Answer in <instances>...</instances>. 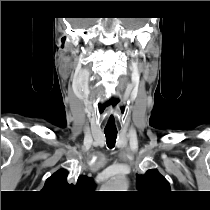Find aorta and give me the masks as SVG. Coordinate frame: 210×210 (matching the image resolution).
Returning a JSON list of instances; mask_svg holds the SVG:
<instances>
[{
  "instance_id": "aorta-1",
  "label": "aorta",
  "mask_w": 210,
  "mask_h": 210,
  "mask_svg": "<svg viewBox=\"0 0 210 210\" xmlns=\"http://www.w3.org/2000/svg\"><path fill=\"white\" fill-rule=\"evenodd\" d=\"M127 179L124 175H118L111 179V181L105 186L106 189H112L110 191H125L127 188Z\"/></svg>"
}]
</instances>
